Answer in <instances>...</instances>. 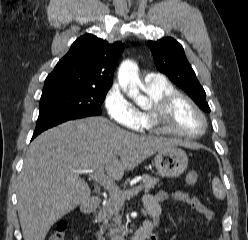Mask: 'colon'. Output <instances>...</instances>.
I'll list each match as a JSON object with an SVG mask.
<instances>
[{
    "label": "colon",
    "instance_id": "colon-1",
    "mask_svg": "<svg viewBox=\"0 0 248 240\" xmlns=\"http://www.w3.org/2000/svg\"><path fill=\"white\" fill-rule=\"evenodd\" d=\"M198 181V174L195 171H190L186 175V182L188 185H195ZM65 224L60 222L54 233L48 238V240H64L65 239Z\"/></svg>",
    "mask_w": 248,
    "mask_h": 240
}]
</instances>
